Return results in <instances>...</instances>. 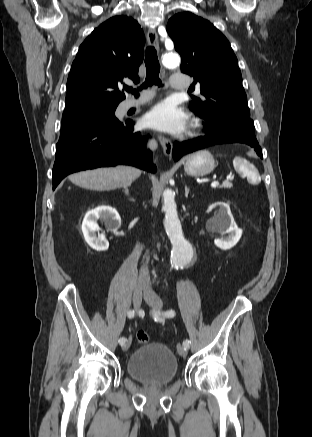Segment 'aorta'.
Returning <instances> with one entry per match:
<instances>
[{
  "instance_id": "obj_1",
  "label": "aorta",
  "mask_w": 312,
  "mask_h": 437,
  "mask_svg": "<svg viewBox=\"0 0 312 437\" xmlns=\"http://www.w3.org/2000/svg\"><path fill=\"white\" fill-rule=\"evenodd\" d=\"M180 63V57L174 53L164 55L163 64L173 68ZM163 210L165 211L164 227L172 243L171 265L180 267L186 264L193 256L191 244L184 238L182 226L177 214L174 193L171 189L163 192Z\"/></svg>"
}]
</instances>
